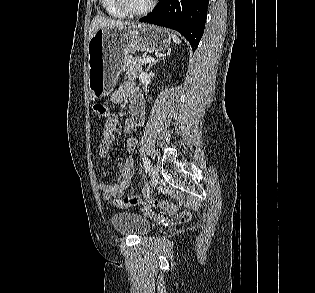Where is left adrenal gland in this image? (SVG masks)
I'll return each instance as SVG.
<instances>
[{
  "mask_svg": "<svg viewBox=\"0 0 315 293\" xmlns=\"http://www.w3.org/2000/svg\"><path fill=\"white\" fill-rule=\"evenodd\" d=\"M169 54H170V52H168L167 54H164V55L162 56V59H165V57H166L167 55H169ZM160 60H161V57H159V59H156L153 63H150V64L148 65L146 71H149V70L153 67V65L157 64Z\"/></svg>",
  "mask_w": 315,
  "mask_h": 293,
  "instance_id": "obj_1",
  "label": "left adrenal gland"
}]
</instances>
